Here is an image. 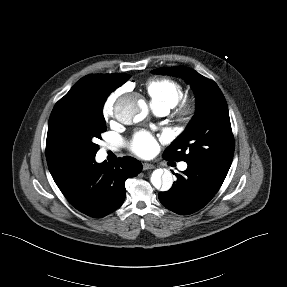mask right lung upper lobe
<instances>
[{
    "instance_id": "obj_1",
    "label": "right lung upper lobe",
    "mask_w": 287,
    "mask_h": 287,
    "mask_svg": "<svg viewBox=\"0 0 287 287\" xmlns=\"http://www.w3.org/2000/svg\"><path fill=\"white\" fill-rule=\"evenodd\" d=\"M129 76L125 73H113L104 75H87L80 79L68 93L76 90L86 89L88 87H101L109 91L115 90L127 81ZM46 158L49 171L56 184L61 183L78 166L65 163L54 157L46 150Z\"/></svg>"
}]
</instances>
